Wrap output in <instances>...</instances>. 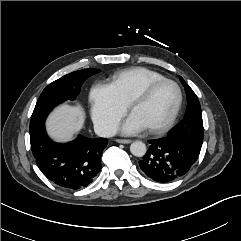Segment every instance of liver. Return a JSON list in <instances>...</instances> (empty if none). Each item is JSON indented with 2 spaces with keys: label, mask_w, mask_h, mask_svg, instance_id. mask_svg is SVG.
Wrapping results in <instances>:
<instances>
[{
  "label": "liver",
  "mask_w": 241,
  "mask_h": 241,
  "mask_svg": "<svg viewBox=\"0 0 241 241\" xmlns=\"http://www.w3.org/2000/svg\"><path fill=\"white\" fill-rule=\"evenodd\" d=\"M84 120L85 113L80 105L63 104L49 116L46 127L51 138L58 142H66L82 129Z\"/></svg>",
  "instance_id": "1"
}]
</instances>
